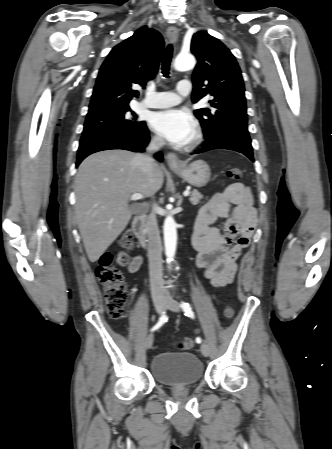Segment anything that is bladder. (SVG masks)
<instances>
[{"label":"bladder","instance_id":"obj_1","mask_svg":"<svg viewBox=\"0 0 332 449\" xmlns=\"http://www.w3.org/2000/svg\"><path fill=\"white\" fill-rule=\"evenodd\" d=\"M151 373L163 386H191L203 378L204 367L193 353L162 352L153 358Z\"/></svg>","mask_w":332,"mask_h":449}]
</instances>
